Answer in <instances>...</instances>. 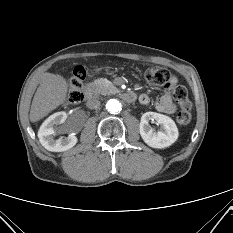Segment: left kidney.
Listing matches in <instances>:
<instances>
[{
  "label": "left kidney",
  "instance_id": "5707ae66",
  "mask_svg": "<svg viewBox=\"0 0 233 233\" xmlns=\"http://www.w3.org/2000/svg\"><path fill=\"white\" fill-rule=\"evenodd\" d=\"M149 121L160 125L159 131H154ZM140 135L144 142L152 147L162 149L172 145L179 136L175 122L168 116L156 112H146L142 115L139 125Z\"/></svg>",
  "mask_w": 233,
  "mask_h": 233
}]
</instances>
